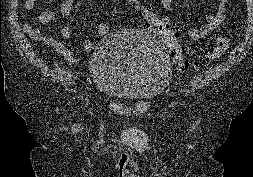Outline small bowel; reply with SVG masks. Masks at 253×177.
<instances>
[{"mask_svg": "<svg viewBox=\"0 0 253 177\" xmlns=\"http://www.w3.org/2000/svg\"><path fill=\"white\" fill-rule=\"evenodd\" d=\"M173 0H160L164 9H169ZM217 3L216 10L207 17L206 23L201 28H188L186 34L192 41H198L206 38L213 31H215L226 19L227 4L229 0H215ZM36 3V0H25L24 7L26 9H32ZM75 0H62L60 9L58 12L51 10L43 11L39 16V21L42 24H48L58 18H65L69 16ZM82 17V15H81ZM22 29L29 35H35L34 29L27 23L22 24ZM110 26L106 23H99L97 26V34L100 37H105L110 33ZM60 35L63 39H72L75 35L73 28L65 26L61 29ZM53 48L61 54L69 63L76 64L80 61V57L74 52L68 49L63 43L54 41L52 43ZM95 45L93 39H86L83 42V48L86 51H91Z\"/></svg>", "mask_w": 253, "mask_h": 177, "instance_id": "small-bowel-1", "label": "small bowel"}]
</instances>
